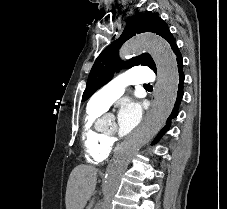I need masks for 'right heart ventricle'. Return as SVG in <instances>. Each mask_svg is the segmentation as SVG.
<instances>
[{
  "label": "right heart ventricle",
  "mask_w": 227,
  "mask_h": 209,
  "mask_svg": "<svg viewBox=\"0 0 227 209\" xmlns=\"http://www.w3.org/2000/svg\"><path fill=\"white\" fill-rule=\"evenodd\" d=\"M103 111L104 108L89 105L82 119L81 139L85 147V159L96 166L104 164L112 151L111 140L95 127Z\"/></svg>",
  "instance_id": "obj_1"
}]
</instances>
